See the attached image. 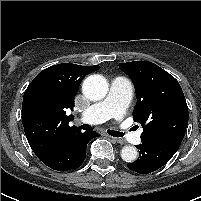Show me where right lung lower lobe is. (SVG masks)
I'll use <instances>...</instances> for the list:
<instances>
[{
	"label": "right lung lower lobe",
	"mask_w": 201,
	"mask_h": 201,
	"mask_svg": "<svg viewBox=\"0 0 201 201\" xmlns=\"http://www.w3.org/2000/svg\"><path fill=\"white\" fill-rule=\"evenodd\" d=\"M98 137L92 131L76 132L63 142L54 152L38 157L45 165L57 170L68 171L81 166L86 157V147L90 139Z\"/></svg>",
	"instance_id": "1"
}]
</instances>
